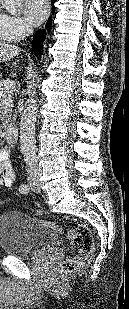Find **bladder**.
Wrapping results in <instances>:
<instances>
[{
    "label": "bladder",
    "mask_w": 129,
    "mask_h": 309,
    "mask_svg": "<svg viewBox=\"0 0 129 309\" xmlns=\"http://www.w3.org/2000/svg\"><path fill=\"white\" fill-rule=\"evenodd\" d=\"M57 246L56 233L44 222L19 211L0 215V247L6 254L33 259Z\"/></svg>",
    "instance_id": "31cf9c89"
}]
</instances>
